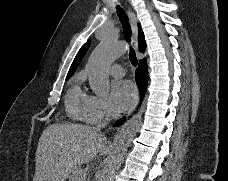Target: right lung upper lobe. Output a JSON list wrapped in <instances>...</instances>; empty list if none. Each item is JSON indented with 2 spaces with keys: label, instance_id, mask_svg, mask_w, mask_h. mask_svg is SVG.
<instances>
[{
  "label": "right lung upper lobe",
  "instance_id": "right-lung-upper-lobe-1",
  "mask_svg": "<svg viewBox=\"0 0 228 181\" xmlns=\"http://www.w3.org/2000/svg\"><path fill=\"white\" fill-rule=\"evenodd\" d=\"M138 27H139V32H138L139 50H140V52L143 53L146 48V42H145V38H144L143 31L141 29V26L139 25ZM89 46H90V41H87V43H85L81 47V49L79 50L78 54L76 55L72 65L69 69L66 80H68L74 74L77 66L80 64V62L83 59L84 55L86 54Z\"/></svg>",
  "mask_w": 228,
  "mask_h": 181
}]
</instances>
